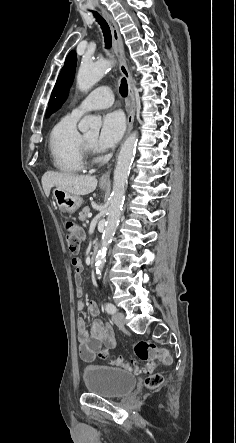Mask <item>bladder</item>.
Masks as SVG:
<instances>
[{"label":"bladder","mask_w":236,"mask_h":443,"mask_svg":"<svg viewBox=\"0 0 236 443\" xmlns=\"http://www.w3.org/2000/svg\"><path fill=\"white\" fill-rule=\"evenodd\" d=\"M86 390L105 398H121L132 391L136 376L125 369L91 365L83 371Z\"/></svg>","instance_id":"31cf9c89"}]
</instances>
